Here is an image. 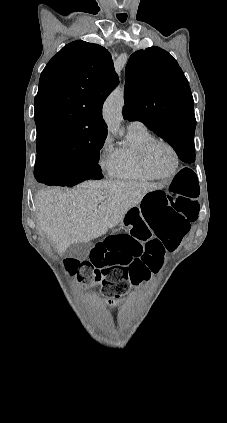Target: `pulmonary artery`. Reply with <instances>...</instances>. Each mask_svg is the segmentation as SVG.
Returning <instances> with one entry per match:
<instances>
[{"instance_id":"pulmonary-artery-1","label":"pulmonary artery","mask_w":227,"mask_h":423,"mask_svg":"<svg viewBox=\"0 0 227 423\" xmlns=\"http://www.w3.org/2000/svg\"><path fill=\"white\" fill-rule=\"evenodd\" d=\"M139 127H144V125L139 121H132V122H129L128 125H127L128 129L139 128Z\"/></svg>"}]
</instances>
